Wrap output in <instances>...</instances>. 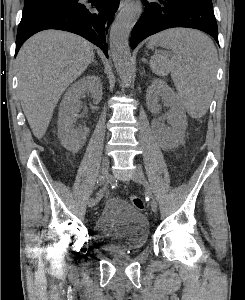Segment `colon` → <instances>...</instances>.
<instances>
[{"label": "colon", "instance_id": "5ec220e1", "mask_svg": "<svg viewBox=\"0 0 245 300\" xmlns=\"http://www.w3.org/2000/svg\"><path fill=\"white\" fill-rule=\"evenodd\" d=\"M131 203L138 210H142L144 208V200L139 196H133L131 198Z\"/></svg>", "mask_w": 245, "mask_h": 300}]
</instances>
